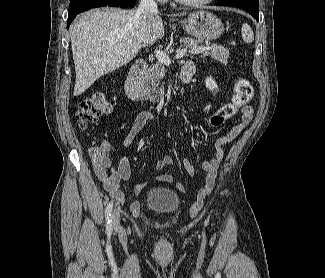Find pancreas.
Here are the masks:
<instances>
[{
  "label": "pancreas",
  "mask_w": 325,
  "mask_h": 278,
  "mask_svg": "<svg viewBox=\"0 0 325 278\" xmlns=\"http://www.w3.org/2000/svg\"><path fill=\"white\" fill-rule=\"evenodd\" d=\"M184 49L194 50L200 48V40H195L189 37L182 39ZM193 55V54H191ZM209 56L216 61L226 64L229 58V50L221 45H214L212 50L204 51L202 57ZM165 66L158 62L148 69L147 74L143 79V96L145 100H149L152 103H156L160 100L159 94L161 93L160 81L165 76Z\"/></svg>",
  "instance_id": "1"
}]
</instances>
